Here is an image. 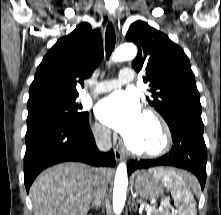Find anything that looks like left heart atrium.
<instances>
[{
  "mask_svg": "<svg viewBox=\"0 0 221 215\" xmlns=\"http://www.w3.org/2000/svg\"><path fill=\"white\" fill-rule=\"evenodd\" d=\"M99 120L128 138L142 119L140 102L136 96L119 91L103 99L96 108Z\"/></svg>",
  "mask_w": 221,
  "mask_h": 215,
  "instance_id": "1",
  "label": "left heart atrium"
}]
</instances>
